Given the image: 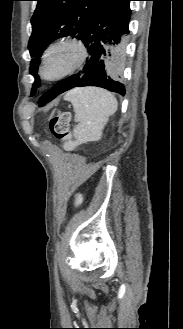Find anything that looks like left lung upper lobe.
Instances as JSON below:
<instances>
[{
    "instance_id": "1",
    "label": "left lung upper lobe",
    "mask_w": 183,
    "mask_h": 329,
    "mask_svg": "<svg viewBox=\"0 0 183 329\" xmlns=\"http://www.w3.org/2000/svg\"><path fill=\"white\" fill-rule=\"evenodd\" d=\"M32 16V34L28 49L32 60L30 74L35 78L34 95L40 85L37 74L40 57L47 46L56 39L71 36L82 40L97 14L113 0H35Z\"/></svg>"
}]
</instances>
